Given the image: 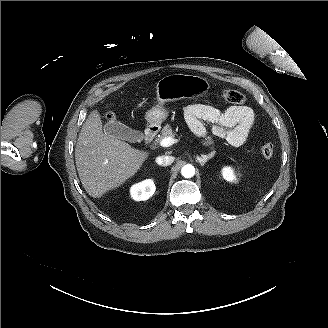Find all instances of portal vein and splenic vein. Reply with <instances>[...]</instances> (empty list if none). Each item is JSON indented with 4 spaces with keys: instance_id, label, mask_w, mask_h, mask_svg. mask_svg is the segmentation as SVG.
Listing matches in <instances>:
<instances>
[{
    "instance_id": "1",
    "label": "portal vein and splenic vein",
    "mask_w": 328,
    "mask_h": 328,
    "mask_svg": "<svg viewBox=\"0 0 328 328\" xmlns=\"http://www.w3.org/2000/svg\"><path fill=\"white\" fill-rule=\"evenodd\" d=\"M179 142H180V139L167 137V138H163L159 141V146H161L163 148H167V147L171 146L172 144L179 143Z\"/></svg>"
}]
</instances>
